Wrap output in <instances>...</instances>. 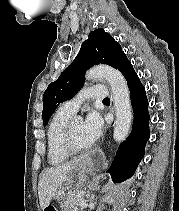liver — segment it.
I'll use <instances>...</instances> for the list:
<instances>
[{
	"instance_id": "liver-1",
	"label": "liver",
	"mask_w": 179,
	"mask_h": 211,
	"mask_svg": "<svg viewBox=\"0 0 179 211\" xmlns=\"http://www.w3.org/2000/svg\"><path fill=\"white\" fill-rule=\"evenodd\" d=\"M84 156L76 158L60 166L51 167L44 171L38 184V196L41 209L44 210L56 196L71 172L84 162Z\"/></svg>"
}]
</instances>
